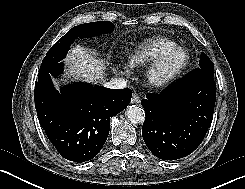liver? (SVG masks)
Returning a JSON list of instances; mask_svg holds the SVG:
<instances>
[{
	"label": "liver",
	"mask_w": 245,
	"mask_h": 189,
	"mask_svg": "<svg viewBox=\"0 0 245 189\" xmlns=\"http://www.w3.org/2000/svg\"><path fill=\"white\" fill-rule=\"evenodd\" d=\"M66 61L70 66V72L75 77L79 79L82 77L90 82L104 81L105 62L96 58L84 47L79 45L73 47L68 53Z\"/></svg>",
	"instance_id": "1"
}]
</instances>
